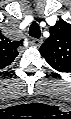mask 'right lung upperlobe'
<instances>
[{
  "instance_id": "cb5924a9",
  "label": "right lung upper lobe",
  "mask_w": 71,
  "mask_h": 119,
  "mask_svg": "<svg viewBox=\"0 0 71 119\" xmlns=\"http://www.w3.org/2000/svg\"><path fill=\"white\" fill-rule=\"evenodd\" d=\"M23 45V40L11 41L8 38L0 37V69L10 65L18 55L17 48Z\"/></svg>"
}]
</instances>
